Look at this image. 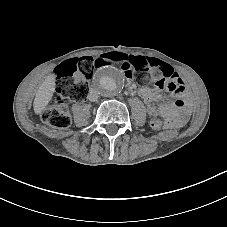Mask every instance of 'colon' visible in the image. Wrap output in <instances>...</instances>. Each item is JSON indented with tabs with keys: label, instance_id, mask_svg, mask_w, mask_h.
<instances>
[{
	"label": "colon",
	"instance_id": "5ec220e1",
	"mask_svg": "<svg viewBox=\"0 0 227 227\" xmlns=\"http://www.w3.org/2000/svg\"><path fill=\"white\" fill-rule=\"evenodd\" d=\"M114 65L123 70L128 78L146 85L153 82L155 87L178 94L183 90V81L169 64L156 58L129 56L120 52H110L97 58L85 56L64 61L56 69V92L50 105L41 111V119L48 125L65 129L71 124V116L66 99L82 103L86 100L94 68ZM154 129H165L169 123L161 118L151 121Z\"/></svg>",
	"mask_w": 227,
	"mask_h": 227
}]
</instances>
